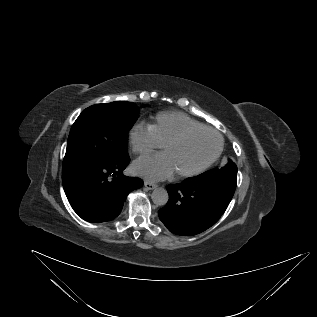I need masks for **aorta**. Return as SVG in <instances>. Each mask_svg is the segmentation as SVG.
I'll return each mask as SVG.
<instances>
[{"mask_svg": "<svg viewBox=\"0 0 317 317\" xmlns=\"http://www.w3.org/2000/svg\"><path fill=\"white\" fill-rule=\"evenodd\" d=\"M152 201L158 206H164L167 204L169 195L164 188H155L151 195Z\"/></svg>", "mask_w": 317, "mask_h": 317, "instance_id": "aorta-1", "label": "aorta"}]
</instances>
